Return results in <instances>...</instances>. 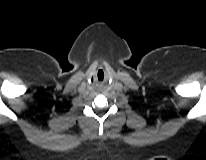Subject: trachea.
I'll use <instances>...</instances> for the list:
<instances>
[{
  "mask_svg": "<svg viewBox=\"0 0 206 160\" xmlns=\"http://www.w3.org/2000/svg\"><path fill=\"white\" fill-rule=\"evenodd\" d=\"M97 80L98 82H102L104 80V72L102 70L98 71Z\"/></svg>",
  "mask_w": 206,
  "mask_h": 160,
  "instance_id": "3493384b",
  "label": "trachea"
}]
</instances>
